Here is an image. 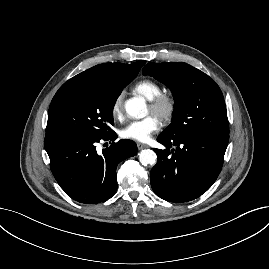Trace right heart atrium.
Returning a JSON list of instances; mask_svg holds the SVG:
<instances>
[{"label":"right heart atrium","instance_id":"obj_1","mask_svg":"<svg viewBox=\"0 0 269 269\" xmlns=\"http://www.w3.org/2000/svg\"><path fill=\"white\" fill-rule=\"evenodd\" d=\"M123 101H124L123 92H119L113 99V102L111 105V114L115 119H120L122 117Z\"/></svg>","mask_w":269,"mask_h":269}]
</instances>
